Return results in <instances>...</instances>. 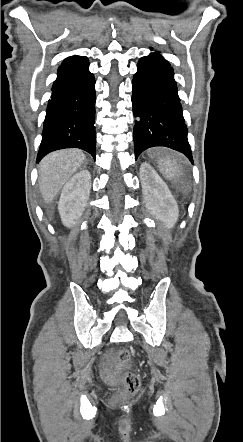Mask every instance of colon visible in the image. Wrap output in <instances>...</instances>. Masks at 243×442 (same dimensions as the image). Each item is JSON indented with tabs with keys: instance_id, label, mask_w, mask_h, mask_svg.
<instances>
[{
	"instance_id": "colon-1",
	"label": "colon",
	"mask_w": 243,
	"mask_h": 442,
	"mask_svg": "<svg viewBox=\"0 0 243 442\" xmlns=\"http://www.w3.org/2000/svg\"><path fill=\"white\" fill-rule=\"evenodd\" d=\"M131 357V351L127 348H123L117 353L115 372L122 382V388L118 392V396L120 398L130 397L136 394L140 389L139 377L135 373L125 370V367L130 362Z\"/></svg>"
}]
</instances>
